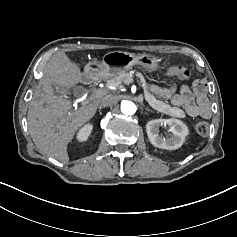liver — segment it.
I'll return each mask as SVG.
<instances>
[{
    "instance_id": "liver-1",
    "label": "liver",
    "mask_w": 237,
    "mask_h": 237,
    "mask_svg": "<svg viewBox=\"0 0 237 237\" xmlns=\"http://www.w3.org/2000/svg\"><path fill=\"white\" fill-rule=\"evenodd\" d=\"M79 67L65 54L50 60L46 75L40 80L43 93L29 104L28 126L31 138L42 154L63 163L69 161L67 145L76 131L95 114L99 100L73 110L71 102L53 95L52 84L70 88L78 83Z\"/></svg>"
}]
</instances>
